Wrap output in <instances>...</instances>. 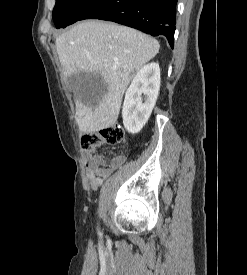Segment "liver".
<instances>
[{
    "mask_svg": "<svg viewBox=\"0 0 247 275\" xmlns=\"http://www.w3.org/2000/svg\"><path fill=\"white\" fill-rule=\"evenodd\" d=\"M56 50L64 77L76 72L99 74L105 92L84 103L76 98V122L82 133L97 132L117 122L132 76L159 52L158 41L130 27L99 20L81 22L59 35Z\"/></svg>",
    "mask_w": 247,
    "mask_h": 275,
    "instance_id": "obj_1",
    "label": "liver"
}]
</instances>
